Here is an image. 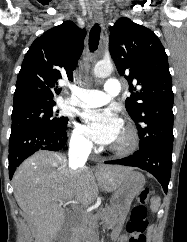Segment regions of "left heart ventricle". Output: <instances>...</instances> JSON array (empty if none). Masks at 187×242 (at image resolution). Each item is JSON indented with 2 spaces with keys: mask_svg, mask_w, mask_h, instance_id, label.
Segmentation results:
<instances>
[{
  "mask_svg": "<svg viewBox=\"0 0 187 242\" xmlns=\"http://www.w3.org/2000/svg\"><path fill=\"white\" fill-rule=\"evenodd\" d=\"M127 142H128V135H127V132H126L124 126L122 125V127L117 135V138L112 143V146L122 147V146L126 145Z\"/></svg>",
  "mask_w": 187,
  "mask_h": 242,
  "instance_id": "b2bd125f",
  "label": "left heart ventricle"
}]
</instances>
